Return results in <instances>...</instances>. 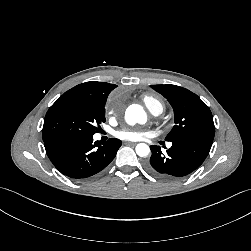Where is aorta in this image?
Returning <instances> with one entry per match:
<instances>
[{
  "mask_svg": "<svg viewBox=\"0 0 251 251\" xmlns=\"http://www.w3.org/2000/svg\"><path fill=\"white\" fill-rule=\"evenodd\" d=\"M125 120L129 125H135L136 123L144 124L147 120V116L142 106L132 104L125 111ZM135 151L138 156L146 157L150 153V148L145 143H139Z\"/></svg>",
  "mask_w": 251,
  "mask_h": 251,
  "instance_id": "obj_1",
  "label": "aorta"
}]
</instances>
